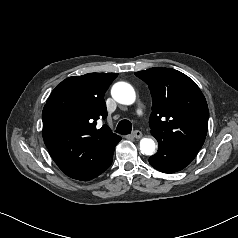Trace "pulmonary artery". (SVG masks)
Returning <instances> with one entry per match:
<instances>
[{
  "mask_svg": "<svg viewBox=\"0 0 238 238\" xmlns=\"http://www.w3.org/2000/svg\"><path fill=\"white\" fill-rule=\"evenodd\" d=\"M137 114H138V115L142 114V109H140V108L137 109Z\"/></svg>",
  "mask_w": 238,
  "mask_h": 238,
  "instance_id": "obj_1",
  "label": "pulmonary artery"
}]
</instances>
